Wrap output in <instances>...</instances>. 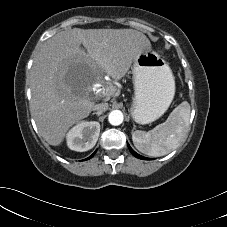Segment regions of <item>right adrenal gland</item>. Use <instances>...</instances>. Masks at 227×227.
I'll return each instance as SVG.
<instances>
[{"mask_svg":"<svg viewBox=\"0 0 227 227\" xmlns=\"http://www.w3.org/2000/svg\"><path fill=\"white\" fill-rule=\"evenodd\" d=\"M102 114V112H94L92 113V115H97V116H100Z\"/></svg>","mask_w":227,"mask_h":227,"instance_id":"right-adrenal-gland-1","label":"right adrenal gland"}]
</instances>
